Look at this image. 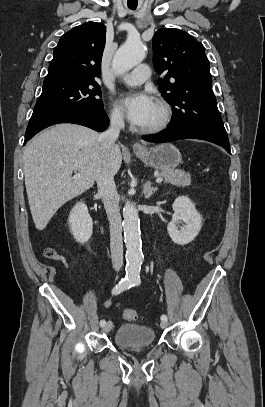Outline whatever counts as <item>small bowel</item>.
<instances>
[{
	"label": "small bowel",
	"mask_w": 265,
	"mask_h": 407,
	"mask_svg": "<svg viewBox=\"0 0 265 407\" xmlns=\"http://www.w3.org/2000/svg\"><path fill=\"white\" fill-rule=\"evenodd\" d=\"M112 304V300L111 298H109L106 302H105V306L109 307ZM119 305V304H118Z\"/></svg>",
	"instance_id": "small-bowel-1"
}]
</instances>
